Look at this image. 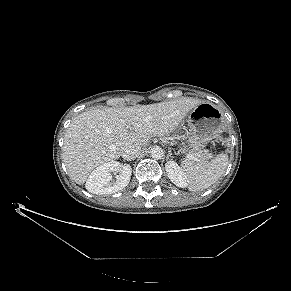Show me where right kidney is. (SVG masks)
Instances as JSON below:
<instances>
[{"instance_id": "obj_1", "label": "right kidney", "mask_w": 291, "mask_h": 291, "mask_svg": "<svg viewBox=\"0 0 291 291\" xmlns=\"http://www.w3.org/2000/svg\"><path fill=\"white\" fill-rule=\"evenodd\" d=\"M116 175V181H112L111 173ZM132 169L129 165L111 161L98 166L89 175L85 187L93 194H112L124 189L130 182Z\"/></svg>"}]
</instances>
